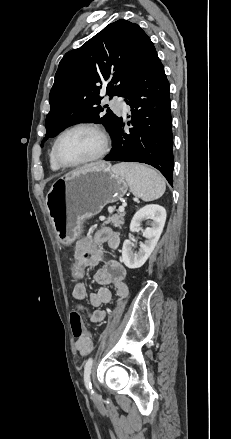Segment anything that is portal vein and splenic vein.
I'll use <instances>...</instances> for the list:
<instances>
[{
  "mask_svg": "<svg viewBox=\"0 0 231 439\" xmlns=\"http://www.w3.org/2000/svg\"><path fill=\"white\" fill-rule=\"evenodd\" d=\"M126 203L124 202L122 206L119 207V212H124Z\"/></svg>",
  "mask_w": 231,
  "mask_h": 439,
  "instance_id": "obj_1",
  "label": "portal vein and splenic vein"
}]
</instances>
